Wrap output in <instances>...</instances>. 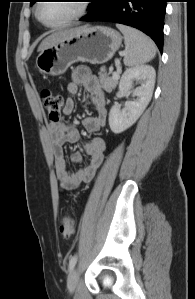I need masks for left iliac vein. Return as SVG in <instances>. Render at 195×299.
I'll return each mask as SVG.
<instances>
[{"label": "left iliac vein", "mask_w": 195, "mask_h": 299, "mask_svg": "<svg viewBox=\"0 0 195 299\" xmlns=\"http://www.w3.org/2000/svg\"><path fill=\"white\" fill-rule=\"evenodd\" d=\"M78 279H79V272L77 269H73L69 276H68V281H67V287L69 292H74L77 288L78 284Z\"/></svg>", "instance_id": "left-iliac-vein-1"}]
</instances>
